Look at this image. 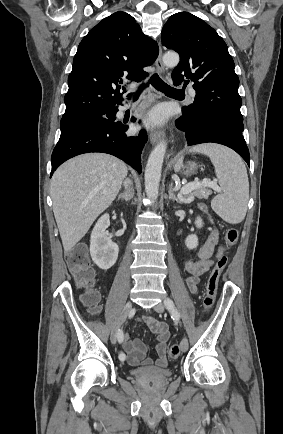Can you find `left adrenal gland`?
Returning <instances> with one entry per match:
<instances>
[{"label":"left adrenal gland","mask_w":283,"mask_h":434,"mask_svg":"<svg viewBox=\"0 0 283 434\" xmlns=\"http://www.w3.org/2000/svg\"><path fill=\"white\" fill-rule=\"evenodd\" d=\"M172 188H173V183H171V184L169 185V190H168L169 200L176 201L177 203L182 204V201H181L179 198H177V197L175 196V194H174Z\"/></svg>","instance_id":"a2214340"}]
</instances>
